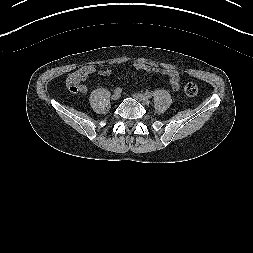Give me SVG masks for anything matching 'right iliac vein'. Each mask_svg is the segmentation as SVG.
Instances as JSON below:
<instances>
[{"label": "right iliac vein", "mask_w": 253, "mask_h": 253, "mask_svg": "<svg viewBox=\"0 0 253 253\" xmlns=\"http://www.w3.org/2000/svg\"><path fill=\"white\" fill-rule=\"evenodd\" d=\"M119 98H120V94L114 93V94L112 95V99H113V100H118Z\"/></svg>", "instance_id": "1"}]
</instances>
